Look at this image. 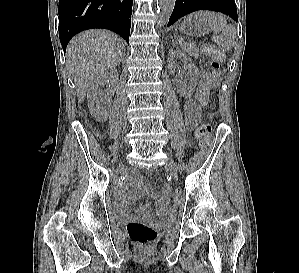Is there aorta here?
<instances>
[{"mask_svg": "<svg viewBox=\"0 0 299 273\" xmlns=\"http://www.w3.org/2000/svg\"><path fill=\"white\" fill-rule=\"evenodd\" d=\"M176 0H157L158 18L161 25H165L175 6Z\"/></svg>", "mask_w": 299, "mask_h": 273, "instance_id": "aorta-1", "label": "aorta"}]
</instances>
